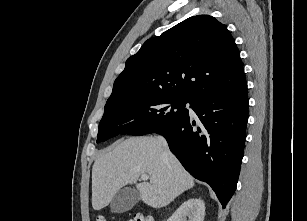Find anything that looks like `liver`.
Wrapping results in <instances>:
<instances>
[{
    "label": "liver",
    "instance_id": "liver-1",
    "mask_svg": "<svg viewBox=\"0 0 307 221\" xmlns=\"http://www.w3.org/2000/svg\"><path fill=\"white\" fill-rule=\"evenodd\" d=\"M142 174L154 177L155 181L137 183ZM128 184L136 185L145 204L161 208L192 188L194 179L159 137H131L118 142L95 160L92 168L93 209L106 207Z\"/></svg>",
    "mask_w": 307,
    "mask_h": 221
}]
</instances>
